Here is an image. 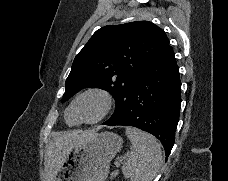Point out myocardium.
I'll return each mask as SVG.
<instances>
[{
  "label": "myocardium",
  "mask_w": 228,
  "mask_h": 181,
  "mask_svg": "<svg viewBox=\"0 0 228 181\" xmlns=\"http://www.w3.org/2000/svg\"><path fill=\"white\" fill-rule=\"evenodd\" d=\"M86 96H95L100 100V107L96 116L88 120H84L80 117L79 108H78L79 101ZM111 105H112V97L107 92L101 91V90H88L80 94L74 101V112L82 122L91 124V123H96L100 121L109 112Z\"/></svg>",
  "instance_id": "1"
}]
</instances>
